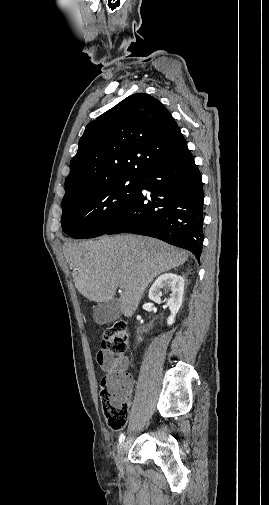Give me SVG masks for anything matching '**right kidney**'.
<instances>
[{"mask_svg":"<svg viewBox=\"0 0 269 505\" xmlns=\"http://www.w3.org/2000/svg\"><path fill=\"white\" fill-rule=\"evenodd\" d=\"M162 290L165 294H169V297L164 300L166 302L164 307H168L171 312L170 316L167 319V324L170 326L175 322V316L178 313L183 302V277L173 273H165L160 275L149 290V298L152 301L160 304L162 302Z\"/></svg>","mask_w":269,"mask_h":505,"instance_id":"1","label":"right kidney"}]
</instances>
